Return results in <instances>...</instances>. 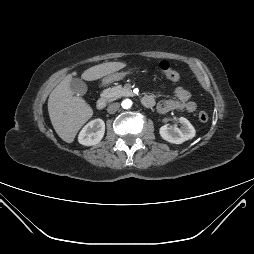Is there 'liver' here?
Masks as SVG:
<instances>
[{
  "mask_svg": "<svg viewBox=\"0 0 254 254\" xmlns=\"http://www.w3.org/2000/svg\"><path fill=\"white\" fill-rule=\"evenodd\" d=\"M126 66L123 62H107L93 66L83 72L81 77L93 81L110 75ZM74 73L73 75H75ZM72 74L67 75L50 93L48 112L51 123L58 136L72 143L80 128L92 117L93 110L86 101L73 96L70 89Z\"/></svg>",
  "mask_w": 254,
  "mask_h": 254,
  "instance_id": "liver-1",
  "label": "liver"
}]
</instances>
